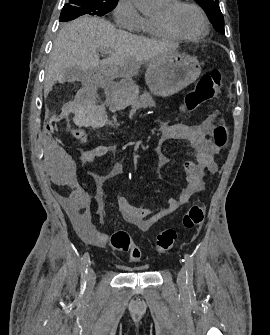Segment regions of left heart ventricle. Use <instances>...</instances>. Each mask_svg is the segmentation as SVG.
Instances as JSON below:
<instances>
[{
  "label": "left heart ventricle",
  "mask_w": 270,
  "mask_h": 335,
  "mask_svg": "<svg viewBox=\"0 0 270 335\" xmlns=\"http://www.w3.org/2000/svg\"><path fill=\"white\" fill-rule=\"evenodd\" d=\"M163 15V9L157 18ZM176 30L186 35L200 33L203 29L201 18L197 11L189 5H181L172 18Z\"/></svg>",
  "instance_id": "1"
}]
</instances>
